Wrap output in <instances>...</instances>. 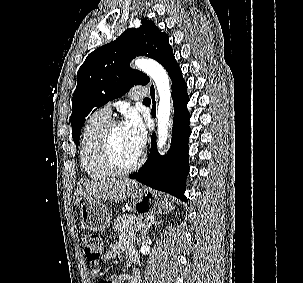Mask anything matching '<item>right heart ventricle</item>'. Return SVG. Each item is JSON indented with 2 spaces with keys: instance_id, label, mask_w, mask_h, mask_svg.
<instances>
[{
  "instance_id": "e07e8e85",
  "label": "right heart ventricle",
  "mask_w": 303,
  "mask_h": 283,
  "mask_svg": "<svg viewBox=\"0 0 303 283\" xmlns=\"http://www.w3.org/2000/svg\"><path fill=\"white\" fill-rule=\"evenodd\" d=\"M109 121L110 117L100 110L96 111L87 119L81 133L80 164L87 177L94 181L105 180L111 176L100 164L97 154L100 135Z\"/></svg>"
}]
</instances>
